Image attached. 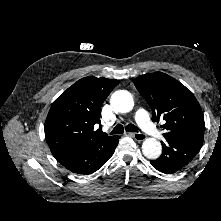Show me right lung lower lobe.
<instances>
[{"instance_id": "obj_1", "label": "right lung lower lobe", "mask_w": 221, "mask_h": 221, "mask_svg": "<svg viewBox=\"0 0 221 221\" xmlns=\"http://www.w3.org/2000/svg\"><path fill=\"white\" fill-rule=\"evenodd\" d=\"M119 136L95 147L74 150L55 157L65 168L76 174H91L98 170L114 153Z\"/></svg>"}]
</instances>
